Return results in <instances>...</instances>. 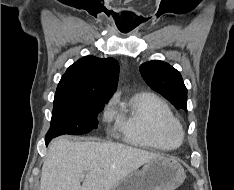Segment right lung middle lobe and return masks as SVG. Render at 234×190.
<instances>
[{
  "mask_svg": "<svg viewBox=\"0 0 234 190\" xmlns=\"http://www.w3.org/2000/svg\"><path fill=\"white\" fill-rule=\"evenodd\" d=\"M107 101L55 94L51 126L45 139L79 135L97 128V116Z\"/></svg>",
  "mask_w": 234,
  "mask_h": 190,
  "instance_id": "dd1d6c3e",
  "label": "right lung middle lobe"
}]
</instances>
